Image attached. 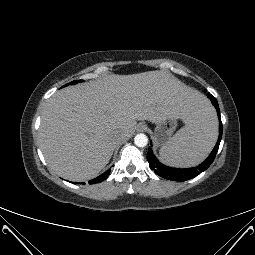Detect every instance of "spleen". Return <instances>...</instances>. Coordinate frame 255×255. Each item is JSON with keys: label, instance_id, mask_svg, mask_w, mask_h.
Masks as SVG:
<instances>
[{"label": "spleen", "instance_id": "spleen-1", "mask_svg": "<svg viewBox=\"0 0 255 255\" xmlns=\"http://www.w3.org/2000/svg\"><path fill=\"white\" fill-rule=\"evenodd\" d=\"M217 127V117L213 108L208 102L200 101L194 118L161 147V160L175 167L199 164L215 145Z\"/></svg>", "mask_w": 255, "mask_h": 255}]
</instances>
